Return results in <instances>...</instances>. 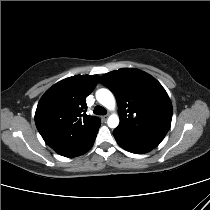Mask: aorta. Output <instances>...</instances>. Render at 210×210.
Wrapping results in <instances>:
<instances>
[{"label":"aorta","mask_w":210,"mask_h":210,"mask_svg":"<svg viewBox=\"0 0 210 210\" xmlns=\"http://www.w3.org/2000/svg\"><path fill=\"white\" fill-rule=\"evenodd\" d=\"M96 99L100 104L110 110L115 108V98L112 92L108 89L101 88L97 90ZM107 123L110 128H116L119 125V117L116 114H112L108 118Z\"/></svg>","instance_id":"aorta-1"}]
</instances>
